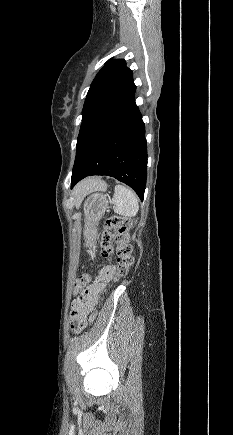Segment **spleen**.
Wrapping results in <instances>:
<instances>
[{
  "instance_id": "3e777b00",
  "label": "spleen",
  "mask_w": 233,
  "mask_h": 435,
  "mask_svg": "<svg viewBox=\"0 0 233 435\" xmlns=\"http://www.w3.org/2000/svg\"><path fill=\"white\" fill-rule=\"evenodd\" d=\"M111 203L115 213L133 217L139 211L138 197L135 192L123 185H117Z\"/></svg>"
}]
</instances>
